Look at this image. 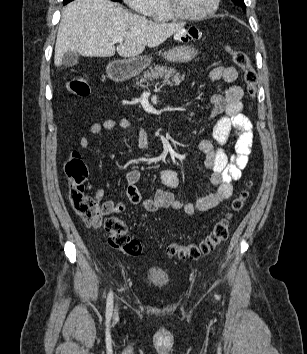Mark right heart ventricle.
Returning a JSON list of instances; mask_svg holds the SVG:
<instances>
[{
  "label": "right heart ventricle",
  "instance_id": "e07e8e85",
  "mask_svg": "<svg viewBox=\"0 0 307 354\" xmlns=\"http://www.w3.org/2000/svg\"><path fill=\"white\" fill-rule=\"evenodd\" d=\"M149 16L156 22H168L173 19L166 8L164 0H155Z\"/></svg>",
  "mask_w": 307,
  "mask_h": 354
}]
</instances>
